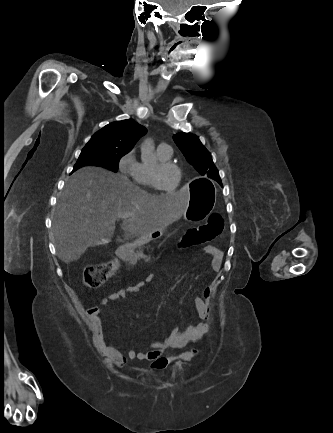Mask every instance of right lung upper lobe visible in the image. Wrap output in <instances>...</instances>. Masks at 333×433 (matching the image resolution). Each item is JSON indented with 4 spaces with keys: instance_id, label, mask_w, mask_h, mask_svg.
<instances>
[{
    "instance_id": "right-lung-upper-lobe-1",
    "label": "right lung upper lobe",
    "mask_w": 333,
    "mask_h": 433,
    "mask_svg": "<svg viewBox=\"0 0 333 433\" xmlns=\"http://www.w3.org/2000/svg\"><path fill=\"white\" fill-rule=\"evenodd\" d=\"M147 132L146 128L132 119L109 123L95 133L87 145L130 151L138 139Z\"/></svg>"
}]
</instances>
